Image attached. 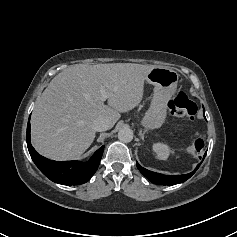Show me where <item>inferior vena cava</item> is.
Wrapping results in <instances>:
<instances>
[{
  "mask_svg": "<svg viewBox=\"0 0 237 237\" xmlns=\"http://www.w3.org/2000/svg\"><path fill=\"white\" fill-rule=\"evenodd\" d=\"M93 128L97 132L106 131L110 128V123L104 118H98L93 122Z\"/></svg>",
  "mask_w": 237,
  "mask_h": 237,
  "instance_id": "obj_1",
  "label": "inferior vena cava"
}]
</instances>
